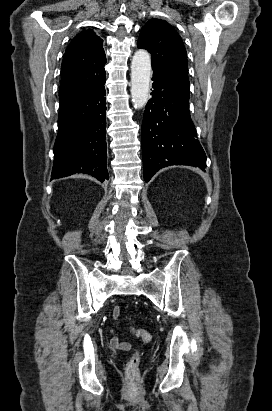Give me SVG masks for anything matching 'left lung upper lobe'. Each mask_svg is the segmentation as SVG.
Wrapping results in <instances>:
<instances>
[{"instance_id":"5c2ea615","label":"left lung upper lobe","mask_w":272,"mask_h":411,"mask_svg":"<svg viewBox=\"0 0 272 411\" xmlns=\"http://www.w3.org/2000/svg\"><path fill=\"white\" fill-rule=\"evenodd\" d=\"M137 46L151 53L153 74L189 93L186 49L169 23L161 19L149 20L141 29Z\"/></svg>"}]
</instances>
